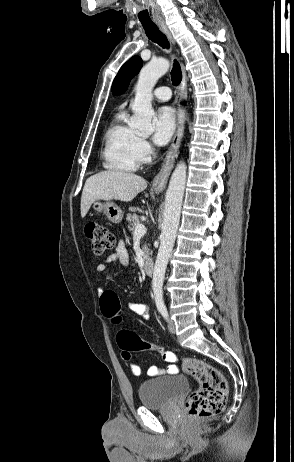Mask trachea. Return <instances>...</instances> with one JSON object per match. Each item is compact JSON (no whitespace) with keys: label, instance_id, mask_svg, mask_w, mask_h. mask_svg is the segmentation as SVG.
Segmentation results:
<instances>
[{"label":"trachea","instance_id":"3493384b","mask_svg":"<svg viewBox=\"0 0 294 462\" xmlns=\"http://www.w3.org/2000/svg\"><path fill=\"white\" fill-rule=\"evenodd\" d=\"M143 28L147 37L160 45L162 48H169L170 44L166 36L158 29L157 25L153 22H142ZM171 79L174 86L179 85L182 80V72L179 63L174 60L173 68L171 71Z\"/></svg>","mask_w":294,"mask_h":462}]
</instances>
